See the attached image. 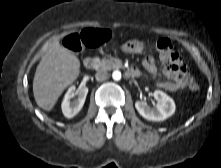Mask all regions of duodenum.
Wrapping results in <instances>:
<instances>
[{
	"mask_svg": "<svg viewBox=\"0 0 221 168\" xmlns=\"http://www.w3.org/2000/svg\"><path fill=\"white\" fill-rule=\"evenodd\" d=\"M83 64L86 69L92 70L96 66V61L93 57L88 56L83 59ZM125 75L127 77H135L138 75V70L130 68L126 70Z\"/></svg>",
	"mask_w": 221,
	"mask_h": 168,
	"instance_id": "1",
	"label": "duodenum"
}]
</instances>
